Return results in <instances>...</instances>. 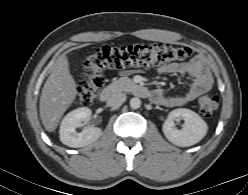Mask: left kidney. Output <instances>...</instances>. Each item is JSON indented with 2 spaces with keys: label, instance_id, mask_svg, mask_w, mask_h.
I'll return each instance as SVG.
<instances>
[{
  "label": "left kidney",
  "instance_id": "obj_1",
  "mask_svg": "<svg viewBox=\"0 0 248 195\" xmlns=\"http://www.w3.org/2000/svg\"><path fill=\"white\" fill-rule=\"evenodd\" d=\"M183 119L182 129H177L174 121ZM165 137L172 144L188 147L198 143L207 133L206 122L194 111L179 108L171 111L162 127Z\"/></svg>",
  "mask_w": 248,
  "mask_h": 195
}]
</instances>
